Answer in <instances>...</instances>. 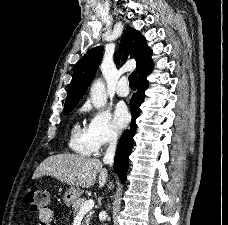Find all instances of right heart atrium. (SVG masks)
Returning <instances> with one entry per match:
<instances>
[{
	"mask_svg": "<svg viewBox=\"0 0 228 225\" xmlns=\"http://www.w3.org/2000/svg\"><path fill=\"white\" fill-rule=\"evenodd\" d=\"M80 112L87 116L85 131L98 149L110 145L118 139V131L108 111L94 109L90 102L86 101L80 107Z\"/></svg>",
	"mask_w": 228,
	"mask_h": 225,
	"instance_id": "obj_1",
	"label": "right heart atrium"
}]
</instances>
